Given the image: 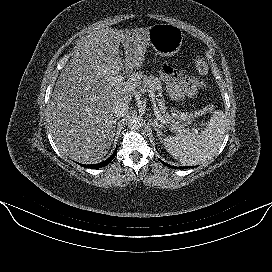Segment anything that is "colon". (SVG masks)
I'll use <instances>...</instances> for the list:
<instances>
[{
    "mask_svg": "<svg viewBox=\"0 0 272 272\" xmlns=\"http://www.w3.org/2000/svg\"><path fill=\"white\" fill-rule=\"evenodd\" d=\"M196 68L199 73L206 74L208 67L202 57H197L195 61ZM215 107L212 105L205 106L199 110L185 111L179 103H176L171 108L172 117L178 122H190L197 118L206 116L214 111Z\"/></svg>",
    "mask_w": 272,
    "mask_h": 272,
    "instance_id": "1",
    "label": "colon"
}]
</instances>
